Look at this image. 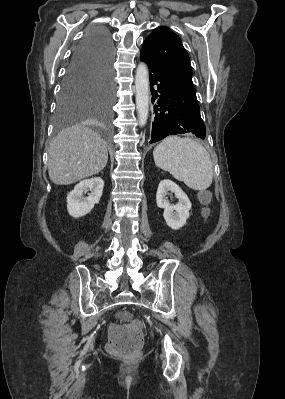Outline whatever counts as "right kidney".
<instances>
[{
  "label": "right kidney",
  "mask_w": 285,
  "mask_h": 399,
  "mask_svg": "<svg viewBox=\"0 0 285 399\" xmlns=\"http://www.w3.org/2000/svg\"><path fill=\"white\" fill-rule=\"evenodd\" d=\"M104 181L100 177L86 179L78 183L74 190L67 196L68 213L79 218L88 214L95 204H98L102 196ZM90 190L88 197H84L83 193Z\"/></svg>",
  "instance_id": "1"
}]
</instances>
